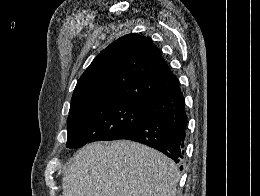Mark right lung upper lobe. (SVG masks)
Listing matches in <instances>:
<instances>
[{
  "label": "right lung upper lobe",
  "instance_id": "obj_1",
  "mask_svg": "<svg viewBox=\"0 0 260 196\" xmlns=\"http://www.w3.org/2000/svg\"><path fill=\"white\" fill-rule=\"evenodd\" d=\"M177 81L150 38L128 34L93 60L76 84L71 106L111 97L141 103Z\"/></svg>",
  "mask_w": 260,
  "mask_h": 196
}]
</instances>
